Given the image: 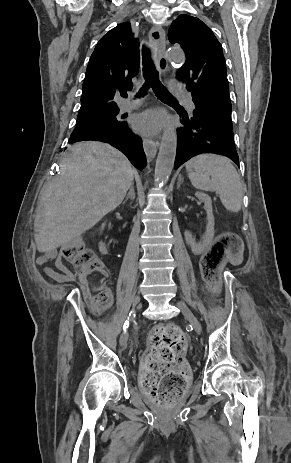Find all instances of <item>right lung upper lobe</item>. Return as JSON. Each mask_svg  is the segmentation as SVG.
<instances>
[{
    "mask_svg": "<svg viewBox=\"0 0 291 463\" xmlns=\"http://www.w3.org/2000/svg\"><path fill=\"white\" fill-rule=\"evenodd\" d=\"M139 64V40L131 32L130 23H121L104 35L87 66L77 118L119 110L114 95L132 87L131 78Z\"/></svg>",
    "mask_w": 291,
    "mask_h": 463,
    "instance_id": "right-lung-upper-lobe-1",
    "label": "right lung upper lobe"
}]
</instances>
